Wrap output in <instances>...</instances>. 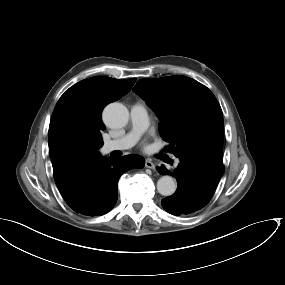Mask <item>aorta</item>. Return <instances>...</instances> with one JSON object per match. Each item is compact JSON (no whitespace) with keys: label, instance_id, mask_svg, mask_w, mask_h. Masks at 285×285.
<instances>
[{"label":"aorta","instance_id":"1","mask_svg":"<svg viewBox=\"0 0 285 285\" xmlns=\"http://www.w3.org/2000/svg\"><path fill=\"white\" fill-rule=\"evenodd\" d=\"M129 113L121 103H111L104 109L103 118L111 128H120L128 122ZM176 183L171 176H162L157 182V190L163 196H171L176 190Z\"/></svg>","mask_w":285,"mask_h":285}]
</instances>
